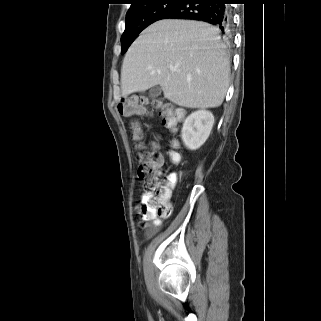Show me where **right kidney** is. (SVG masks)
Segmentation results:
<instances>
[{"label": "right kidney", "instance_id": "right-kidney-1", "mask_svg": "<svg viewBox=\"0 0 321 321\" xmlns=\"http://www.w3.org/2000/svg\"><path fill=\"white\" fill-rule=\"evenodd\" d=\"M214 125V116L210 111L198 110L191 113L184 121L181 138L190 150L201 147L208 139Z\"/></svg>", "mask_w": 321, "mask_h": 321}]
</instances>
